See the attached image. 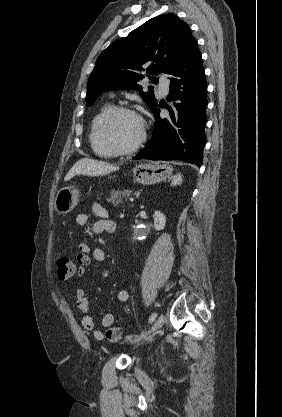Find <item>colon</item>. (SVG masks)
Here are the masks:
<instances>
[{
  "label": "colon",
  "mask_w": 282,
  "mask_h": 417,
  "mask_svg": "<svg viewBox=\"0 0 282 417\" xmlns=\"http://www.w3.org/2000/svg\"><path fill=\"white\" fill-rule=\"evenodd\" d=\"M58 276L61 279H68L76 274H81L83 266H73V259L68 256H61L57 262ZM123 332L119 328L113 327L106 331L105 341L107 344H116L118 339H122Z\"/></svg>",
  "instance_id": "5ec220e1"
}]
</instances>
